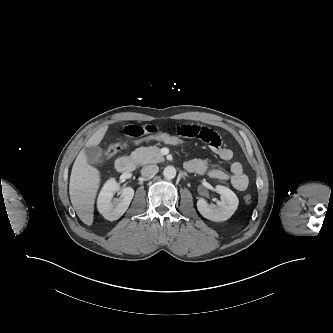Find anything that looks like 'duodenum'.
<instances>
[{"instance_id": "410a0bca", "label": "duodenum", "mask_w": 333, "mask_h": 333, "mask_svg": "<svg viewBox=\"0 0 333 333\" xmlns=\"http://www.w3.org/2000/svg\"><path fill=\"white\" fill-rule=\"evenodd\" d=\"M136 166V160L132 157H120L115 162V167L119 172H131Z\"/></svg>"}]
</instances>
